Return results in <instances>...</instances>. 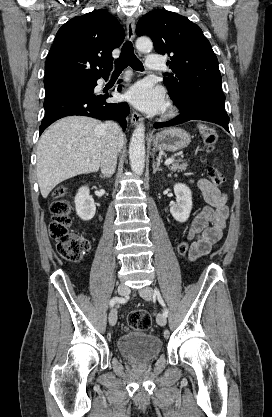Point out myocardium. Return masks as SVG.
I'll return each instance as SVG.
<instances>
[{
	"mask_svg": "<svg viewBox=\"0 0 272 417\" xmlns=\"http://www.w3.org/2000/svg\"><path fill=\"white\" fill-rule=\"evenodd\" d=\"M172 113H173L172 111L169 112V114H172Z\"/></svg>",
	"mask_w": 272,
	"mask_h": 417,
	"instance_id": "obj_1",
	"label": "myocardium"
}]
</instances>
